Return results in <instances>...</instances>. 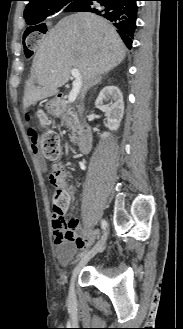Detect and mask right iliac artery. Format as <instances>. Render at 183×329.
<instances>
[{"mask_svg": "<svg viewBox=\"0 0 183 329\" xmlns=\"http://www.w3.org/2000/svg\"><path fill=\"white\" fill-rule=\"evenodd\" d=\"M101 227H102L103 230L106 229V227H107V222H106L105 220H102V221H101Z\"/></svg>", "mask_w": 183, "mask_h": 329, "instance_id": "obj_1", "label": "right iliac artery"}]
</instances>
